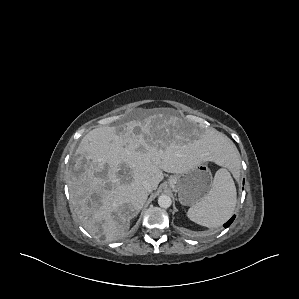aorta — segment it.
<instances>
[{
	"label": "aorta",
	"mask_w": 299,
	"mask_h": 299,
	"mask_svg": "<svg viewBox=\"0 0 299 299\" xmlns=\"http://www.w3.org/2000/svg\"><path fill=\"white\" fill-rule=\"evenodd\" d=\"M158 204L162 208H169L172 204V200L168 195H160L158 198Z\"/></svg>",
	"instance_id": "obj_1"
}]
</instances>
